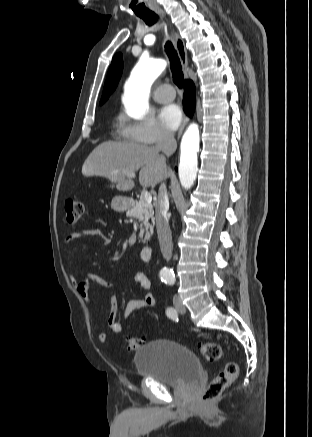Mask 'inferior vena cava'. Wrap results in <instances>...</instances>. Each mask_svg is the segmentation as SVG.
Returning <instances> with one entry per match:
<instances>
[{"label":"inferior vena cava","instance_id":"1","mask_svg":"<svg viewBox=\"0 0 312 437\" xmlns=\"http://www.w3.org/2000/svg\"><path fill=\"white\" fill-rule=\"evenodd\" d=\"M176 140L174 134L168 130H162L159 141L156 145V151L162 152L160 159L166 168V156H170L176 150ZM167 176L164 177V180ZM169 209V200L167 188L164 182L161 183L158 191V201L156 204V229L160 244L161 253L166 261L172 257V236L169 227L167 211Z\"/></svg>","mask_w":312,"mask_h":437}]
</instances>
